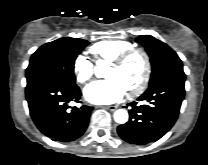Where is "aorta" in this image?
<instances>
[{"label":"aorta","mask_w":208,"mask_h":165,"mask_svg":"<svg viewBox=\"0 0 208 165\" xmlns=\"http://www.w3.org/2000/svg\"><path fill=\"white\" fill-rule=\"evenodd\" d=\"M107 67L108 65L105 63V61H97L96 66L94 68L95 75L98 78H102ZM114 120L118 124H125L128 121V112L125 109L116 110L114 112Z\"/></svg>","instance_id":"762f6f07"}]
</instances>
